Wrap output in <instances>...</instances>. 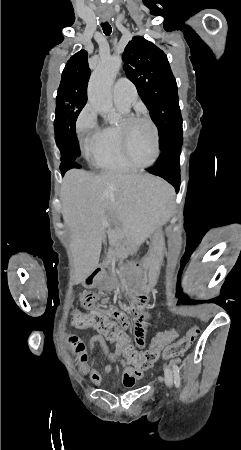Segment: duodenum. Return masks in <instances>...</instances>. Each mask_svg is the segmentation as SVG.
<instances>
[{
    "label": "duodenum",
    "mask_w": 241,
    "mask_h": 450,
    "mask_svg": "<svg viewBox=\"0 0 241 450\" xmlns=\"http://www.w3.org/2000/svg\"><path fill=\"white\" fill-rule=\"evenodd\" d=\"M129 266H130V268H136L137 264L131 263ZM102 276H103V270L101 268H94L87 276V279H86L87 284L89 286L98 284L100 282V280L102 279ZM133 284H134V281H132V280L129 281V283H128L129 286H133Z\"/></svg>",
    "instance_id": "duodenum-1"
}]
</instances>
